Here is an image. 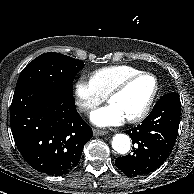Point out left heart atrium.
<instances>
[{"instance_id":"left-heart-atrium-1","label":"left heart atrium","mask_w":194,"mask_h":194,"mask_svg":"<svg viewBox=\"0 0 194 194\" xmlns=\"http://www.w3.org/2000/svg\"><path fill=\"white\" fill-rule=\"evenodd\" d=\"M90 119L98 127L119 125L125 120L122 114L111 104L94 111Z\"/></svg>"}]
</instances>
